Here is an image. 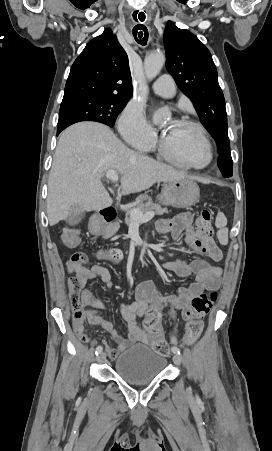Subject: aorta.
<instances>
[{
    "mask_svg": "<svg viewBox=\"0 0 272 451\" xmlns=\"http://www.w3.org/2000/svg\"><path fill=\"white\" fill-rule=\"evenodd\" d=\"M165 60L166 58L162 52H154V54L146 56L144 60V70L148 80H153V78L158 76L165 64ZM163 116L164 114L162 110H158V112H155L153 116V122H161V120H163Z\"/></svg>",
    "mask_w": 272,
    "mask_h": 451,
    "instance_id": "762f6f07",
    "label": "aorta"
}]
</instances>
